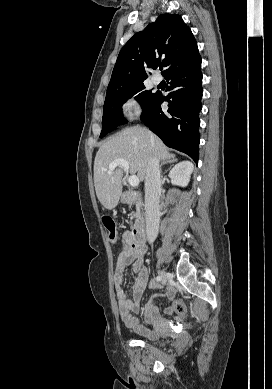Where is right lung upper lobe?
Masks as SVG:
<instances>
[{"label": "right lung upper lobe", "instance_id": "1", "mask_svg": "<svg viewBox=\"0 0 272 389\" xmlns=\"http://www.w3.org/2000/svg\"><path fill=\"white\" fill-rule=\"evenodd\" d=\"M198 55L196 40L182 17L162 14L121 49L107 93L143 83L147 78L146 67L155 69L164 64L166 77Z\"/></svg>", "mask_w": 272, "mask_h": 389}]
</instances>
